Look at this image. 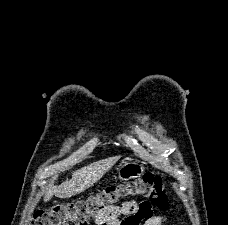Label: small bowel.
<instances>
[{"instance_id": "small-bowel-1", "label": "small bowel", "mask_w": 228, "mask_h": 225, "mask_svg": "<svg viewBox=\"0 0 228 225\" xmlns=\"http://www.w3.org/2000/svg\"><path fill=\"white\" fill-rule=\"evenodd\" d=\"M142 204L135 201H126L120 206H112L103 210L94 220L95 225H164L165 215H154L149 199H142ZM136 212V213H135ZM123 222H120V217ZM145 218H148L145 220Z\"/></svg>"}]
</instances>
